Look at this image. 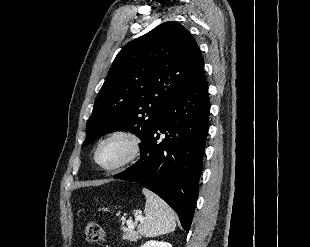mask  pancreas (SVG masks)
Wrapping results in <instances>:
<instances>
[{
    "label": "pancreas",
    "mask_w": 310,
    "mask_h": 247,
    "mask_svg": "<svg viewBox=\"0 0 310 247\" xmlns=\"http://www.w3.org/2000/svg\"><path fill=\"white\" fill-rule=\"evenodd\" d=\"M122 229L124 232V234L122 235V238L124 240L137 241L138 239H140L138 232H136L132 229H128V228H122Z\"/></svg>",
    "instance_id": "cf45deb5"
}]
</instances>
